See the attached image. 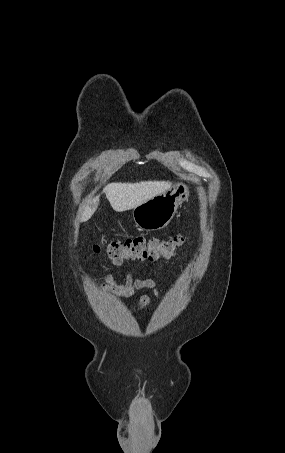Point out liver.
Here are the masks:
<instances>
[{
    "mask_svg": "<svg viewBox=\"0 0 285 453\" xmlns=\"http://www.w3.org/2000/svg\"><path fill=\"white\" fill-rule=\"evenodd\" d=\"M171 186L168 181H143L139 183H110L103 191L110 205L116 212L131 210L151 198L163 194ZM99 205V196L88 201L84 206L80 221L85 222L91 218Z\"/></svg>",
    "mask_w": 285,
    "mask_h": 453,
    "instance_id": "liver-1",
    "label": "liver"
}]
</instances>
